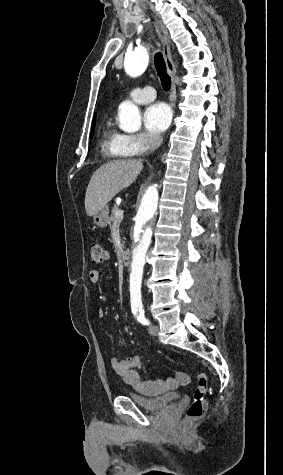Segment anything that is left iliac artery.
<instances>
[{"instance_id":"44dca946","label":"left iliac artery","mask_w":283,"mask_h":475,"mask_svg":"<svg viewBox=\"0 0 283 475\" xmlns=\"http://www.w3.org/2000/svg\"><path fill=\"white\" fill-rule=\"evenodd\" d=\"M133 314L137 317L138 321L143 325H149V320L145 318L144 310H138L135 306L132 307Z\"/></svg>"}]
</instances>
